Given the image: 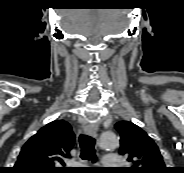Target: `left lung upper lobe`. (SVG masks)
Wrapping results in <instances>:
<instances>
[{"mask_svg":"<svg viewBox=\"0 0 184 173\" xmlns=\"http://www.w3.org/2000/svg\"><path fill=\"white\" fill-rule=\"evenodd\" d=\"M120 133L119 152L133 165L121 173H166L167 168L155 142L140 127L128 121L115 125Z\"/></svg>","mask_w":184,"mask_h":173,"instance_id":"1","label":"left lung upper lobe"}]
</instances>
